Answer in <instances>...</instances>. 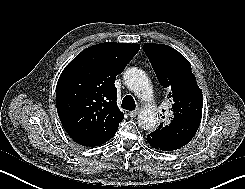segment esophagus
<instances>
[{
    "label": "esophagus",
    "mask_w": 245,
    "mask_h": 189,
    "mask_svg": "<svg viewBox=\"0 0 245 189\" xmlns=\"http://www.w3.org/2000/svg\"><path fill=\"white\" fill-rule=\"evenodd\" d=\"M139 112H140V109L131 111V112H130V116H131V117H136V116L139 114Z\"/></svg>",
    "instance_id": "34e87169"
}]
</instances>
